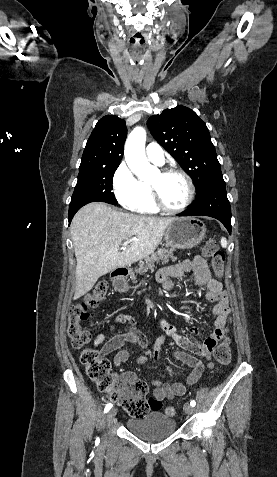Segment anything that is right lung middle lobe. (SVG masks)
I'll return each instance as SVG.
<instances>
[{
	"instance_id": "1",
	"label": "right lung middle lobe",
	"mask_w": 277,
	"mask_h": 477,
	"mask_svg": "<svg viewBox=\"0 0 277 477\" xmlns=\"http://www.w3.org/2000/svg\"><path fill=\"white\" fill-rule=\"evenodd\" d=\"M118 166L79 170L78 181L69 206V222L75 213L90 202L100 201L116 205L112 193V179Z\"/></svg>"
}]
</instances>
